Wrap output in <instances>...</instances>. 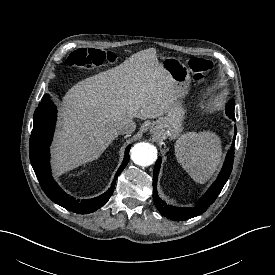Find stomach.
<instances>
[{
	"mask_svg": "<svg viewBox=\"0 0 275 275\" xmlns=\"http://www.w3.org/2000/svg\"><path fill=\"white\" fill-rule=\"evenodd\" d=\"M161 65L172 78L177 93V100L151 127L154 135L175 138L182 130L185 110L182 107V98L188 93L190 86L189 69L175 57L163 58Z\"/></svg>",
	"mask_w": 275,
	"mask_h": 275,
	"instance_id": "stomach-1",
	"label": "stomach"
}]
</instances>
